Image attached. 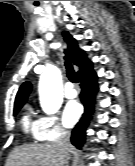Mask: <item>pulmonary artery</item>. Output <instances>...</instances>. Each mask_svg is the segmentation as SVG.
<instances>
[{"label":"pulmonary artery","instance_id":"obj_1","mask_svg":"<svg viewBox=\"0 0 135 166\" xmlns=\"http://www.w3.org/2000/svg\"><path fill=\"white\" fill-rule=\"evenodd\" d=\"M64 95L68 99H73L76 97L77 92H76L75 88L71 84L68 83V84H66Z\"/></svg>","mask_w":135,"mask_h":166}]
</instances>
